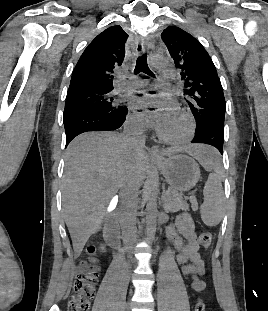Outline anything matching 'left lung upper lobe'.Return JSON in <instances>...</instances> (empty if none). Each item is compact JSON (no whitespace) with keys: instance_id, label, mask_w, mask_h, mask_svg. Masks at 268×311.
<instances>
[{"instance_id":"obj_1","label":"left lung upper lobe","mask_w":268,"mask_h":311,"mask_svg":"<svg viewBox=\"0 0 268 311\" xmlns=\"http://www.w3.org/2000/svg\"><path fill=\"white\" fill-rule=\"evenodd\" d=\"M175 67L180 70L186 102L196 124H216L215 113L226 110L223 88L205 48L192 35L176 26L161 34Z\"/></svg>"}]
</instances>
